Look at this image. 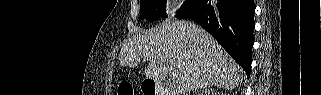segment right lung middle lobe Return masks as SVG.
Segmentation results:
<instances>
[{
  "instance_id": "dd1d6c3e",
  "label": "right lung middle lobe",
  "mask_w": 321,
  "mask_h": 95,
  "mask_svg": "<svg viewBox=\"0 0 321 95\" xmlns=\"http://www.w3.org/2000/svg\"><path fill=\"white\" fill-rule=\"evenodd\" d=\"M204 0H185L181 9L176 14L177 18H188L193 12H195ZM141 19H147V21H155L160 17L166 18V0H141Z\"/></svg>"
}]
</instances>
